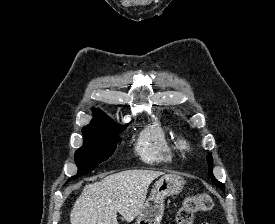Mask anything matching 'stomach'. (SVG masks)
I'll list each match as a JSON object with an SVG mask.
<instances>
[{"label":"stomach","instance_id":"0dacf381","mask_svg":"<svg viewBox=\"0 0 275 224\" xmlns=\"http://www.w3.org/2000/svg\"><path fill=\"white\" fill-rule=\"evenodd\" d=\"M184 183V179L175 174H166L156 181L135 224H160L165 198L180 193Z\"/></svg>","mask_w":275,"mask_h":224}]
</instances>
